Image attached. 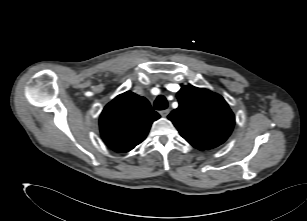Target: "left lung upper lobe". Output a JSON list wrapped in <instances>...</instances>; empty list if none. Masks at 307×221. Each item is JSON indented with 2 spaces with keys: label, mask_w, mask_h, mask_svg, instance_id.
I'll return each instance as SVG.
<instances>
[{
  "label": "left lung upper lobe",
  "mask_w": 307,
  "mask_h": 221,
  "mask_svg": "<svg viewBox=\"0 0 307 221\" xmlns=\"http://www.w3.org/2000/svg\"><path fill=\"white\" fill-rule=\"evenodd\" d=\"M179 107L168 118L180 135L199 150L221 145L231 134L235 117L220 95L194 86L177 93Z\"/></svg>",
  "instance_id": "1"
}]
</instances>
